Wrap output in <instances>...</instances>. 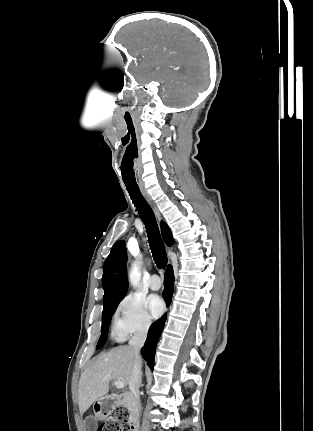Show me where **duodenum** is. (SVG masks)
<instances>
[{
	"label": "duodenum",
	"instance_id": "duodenum-1",
	"mask_svg": "<svg viewBox=\"0 0 313 431\" xmlns=\"http://www.w3.org/2000/svg\"><path fill=\"white\" fill-rule=\"evenodd\" d=\"M116 404L124 406L130 411V431L139 429V405L132 393H123L115 398Z\"/></svg>",
	"mask_w": 313,
	"mask_h": 431
}]
</instances>
